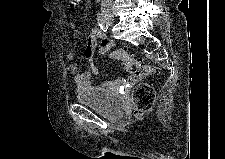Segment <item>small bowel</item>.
Wrapping results in <instances>:
<instances>
[{"label":"small bowel","mask_w":225,"mask_h":159,"mask_svg":"<svg viewBox=\"0 0 225 159\" xmlns=\"http://www.w3.org/2000/svg\"><path fill=\"white\" fill-rule=\"evenodd\" d=\"M114 47L115 43L112 40L106 38V35L102 29L96 27L92 30L84 49V57L90 64V70L80 72L78 64L74 62V59L77 56V52L74 50H70L67 53V59L70 61L69 71L73 76V83L78 90L88 86L91 82L92 77L98 73V67L96 64L98 52L101 53L102 48L112 49ZM125 83L126 81L120 79L117 82H105L103 85L113 87L116 84Z\"/></svg>","instance_id":"small-bowel-1"}]
</instances>
